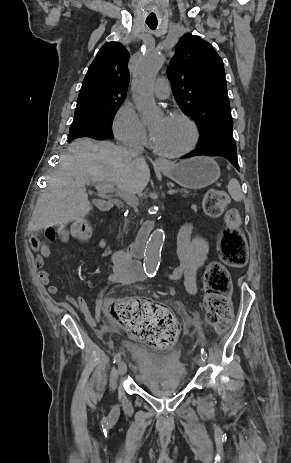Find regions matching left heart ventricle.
<instances>
[{
  "label": "left heart ventricle",
  "mask_w": 291,
  "mask_h": 463,
  "mask_svg": "<svg viewBox=\"0 0 291 463\" xmlns=\"http://www.w3.org/2000/svg\"><path fill=\"white\" fill-rule=\"evenodd\" d=\"M191 137L189 127L176 118H169L168 123L154 139V145L161 151L174 152L184 148Z\"/></svg>",
  "instance_id": "1"
}]
</instances>
